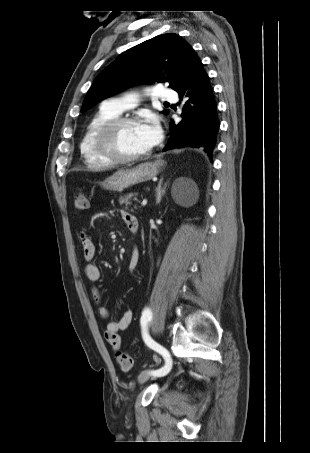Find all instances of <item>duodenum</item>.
Segmentation results:
<instances>
[{
	"mask_svg": "<svg viewBox=\"0 0 310 453\" xmlns=\"http://www.w3.org/2000/svg\"><path fill=\"white\" fill-rule=\"evenodd\" d=\"M132 231H133V232L137 231V228H133Z\"/></svg>",
	"mask_w": 310,
	"mask_h": 453,
	"instance_id": "410a0bca",
	"label": "duodenum"
}]
</instances>
